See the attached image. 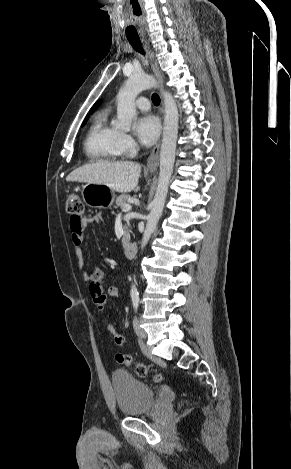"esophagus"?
Masks as SVG:
<instances>
[{
    "instance_id": "1",
    "label": "esophagus",
    "mask_w": 291,
    "mask_h": 469,
    "mask_svg": "<svg viewBox=\"0 0 291 469\" xmlns=\"http://www.w3.org/2000/svg\"><path fill=\"white\" fill-rule=\"evenodd\" d=\"M145 46L148 50V55H149L152 70H153L158 82L162 86L163 76H162L161 70L158 66V62L155 58V55H154L153 51L150 49V45H149L148 41H146V40H145ZM161 112L162 113L164 112L163 98H162V101H161ZM159 149H160V143L156 144L155 147L153 148V150H152V152H151V154H150V156L147 160V168L153 169V168H156L158 166V163H159Z\"/></svg>"
}]
</instances>
